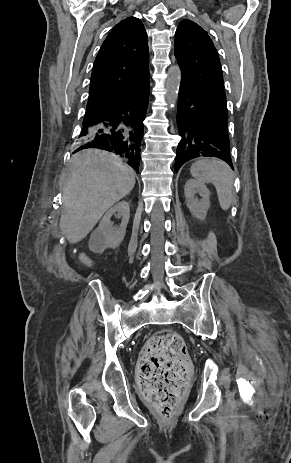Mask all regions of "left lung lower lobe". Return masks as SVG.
<instances>
[{
	"instance_id": "0a47b994",
	"label": "left lung lower lobe",
	"mask_w": 291,
	"mask_h": 463,
	"mask_svg": "<svg viewBox=\"0 0 291 463\" xmlns=\"http://www.w3.org/2000/svg\"><path fill=\"white\" fill-rule=\"evenodd\" d=\"M228 111L212 95L181 82L177 126L181 140L177 147L175 172L197 157H217L233 169L228 136Z\"/></svg>"
}]
</instances>
